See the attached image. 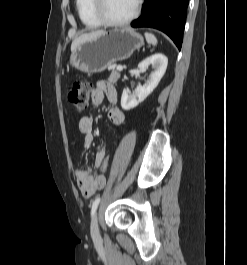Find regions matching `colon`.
I'll return each mask as SVG.
<instances>
[{
	"instance_id": "1",
	"label": "colon",
	"mask_w": 247,
	"mask_h": 265,
	"mask_svg": "<svg viewBox=\"0 0 247 265\" xmlns=\"http://www.w3.org/2000/svg\"><path fill=\"white\" fill-rule=\"evenodd\" d=\"M91 90L92 85L88 80L78 79L73 83L72 88L68 94V100L74 106L76 111L82 112L87 108ZM109 159L110 153L105 155L99 166V177L101 178H105V174L107 173L109 167Z\"/></svg>"
}]
</instances>
